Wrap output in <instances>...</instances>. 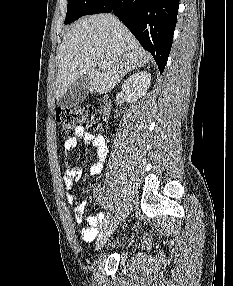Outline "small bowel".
I'll list each match as a JSON object with an SVG mask.
<instances>
[{"mask_svg":"<svg viewBox=\"0 0 233 286\" xmlns=\"http://www.w3.org/2000/svg\"><path fill=\"white\" fill-rule=\"evenodd\" d=\"M82 140L85 144L91 145L96 150V160L90 167L91 175H99L103 169L104 162L107 158L108 147L105 138L100 134H93L86 131L83 127L78 126L74 130L72 137L66 140L64 143V150L66 155H68L77 145L78 142ZM83 170L80 166H67L63 173L64 183L67 189H72L74 183L82 178ZM75 195L72 193L67 194V201L69 203L75 202ZM96 202L99 205L105 204V197L101 191L95 193ZM88 203L86 201H81L78 203L73 210L74 218L77 223H81L83 220V215L87 209ZM105 215L103 212H99L94 215H90L87 218V225L82 228L81 236L85 242H91L95 239L98 233L99 227L104 222Z\"/></svg>","mask_w":233,"mask_h":286,"instance_id":"obj_1","label":"small bowel"}]
</instances>
